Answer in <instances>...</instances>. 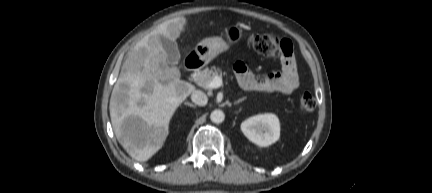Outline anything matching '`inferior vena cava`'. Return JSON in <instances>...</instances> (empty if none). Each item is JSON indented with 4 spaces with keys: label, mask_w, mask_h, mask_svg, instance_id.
<instances>
[{
    "label": "inferior vena cava",
    "mask_w": 432,
    "mask_h": 193,
    "mask_svg": "<svg viewBox=\"0 0 432 193\" xmlns=\"http://www.w3.org/2000/svg\"><path fill=\"white\" fill-rule=\"evenodd\" d=\"M191 100H192V102H194L196 105H199V106H204L208 102L207 95L200 90L193 91V93L191 95Z\"/></svg>",
    "instance_id": "1"
}]
</instances>
